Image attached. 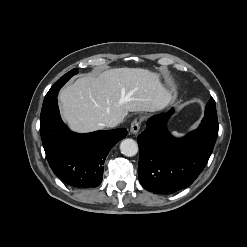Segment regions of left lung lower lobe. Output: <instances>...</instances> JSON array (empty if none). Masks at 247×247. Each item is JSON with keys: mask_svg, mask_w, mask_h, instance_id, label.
Returning <instances> with one entry per match:
<instances>
[{"mask_svg": "<svg viewBox=\"0 0 247 247\" xmlns=\"http://www.w3.org/2000/svg\"><path fill=\"white\" fill-rule=\"evenodd\" d=\"M173 113L172 108L148 119L137 139L139 179L155 193H174L189 186L207 164L218 135V128L201 122L196 130L176 139L165 127Z\"/></svg>", "mask_w": 247, "mask_h": 247, "instance_id": "left-lung-lower-lobe-1", "label": "left lung lower lobe"}]
</instances>
